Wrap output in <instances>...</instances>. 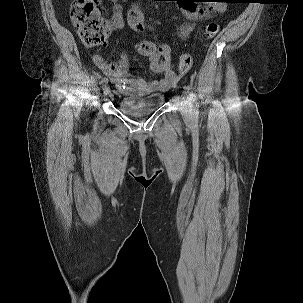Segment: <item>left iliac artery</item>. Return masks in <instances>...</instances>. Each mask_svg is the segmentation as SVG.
I'll list each match as a JSON object with an SVG mask.
<instances>
[{
  "label": "left iliac artery",
  "mask_w": 303,
  "mask_h": 303,
  "mask_svg": "<svg viewBox=\"0 0 303 303\" xmlns=\"http://www.w3.org/2000/svg\"><path fill=\"white\" fill-rule=\"evenodd\" d=\"M184 88H185L186 92L188 93L189 100L192 102V117L194 119H198L199 111H198V106H197V102H196V95H195V93H193L190 90V87L185 86Z\"/></svg>",
  "instance_id": "1"
}]
</instances>
